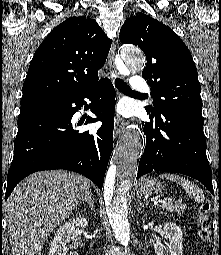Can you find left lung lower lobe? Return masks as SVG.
I'll return each mask as SVG.
<instances>
[{
	"instance_id": "1",
	"label": "left lung lower lobe",
	"mask_w": 221,
	"mask_h": 255,
	"mask_svg": "<svg viewBox=\"0 0 221 255\" xmlns=\"http://www.w3.org/2000/svg\"><path fill=\"white\" fill-rule=\"evenodd\" d=\"M149 117L150 122H142L146 147L137 178L154 170L177 172L199 180L214 194L206 156L204 120L174 108Z\"/></svg>"
}]
</instances>
